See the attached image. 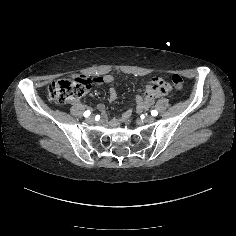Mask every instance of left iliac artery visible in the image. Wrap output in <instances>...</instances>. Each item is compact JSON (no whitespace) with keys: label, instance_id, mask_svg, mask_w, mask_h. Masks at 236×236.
<instances>
[{"label":"left iliac artery","instance_id":"left-iliac-artery-1","mask_svg":"<svg viewBox=\"0 0 236 236\" xmlns=\"http://www.w3.org/2000/svg\"><path fill=\"white\" fill-rule=\"evenodd\" d=\"M151 115H152V116H157V115H158V112H157L156 110H152V111H151Z\"/></svg>","mask_w":236,"mask_h":236}]
</instances>
